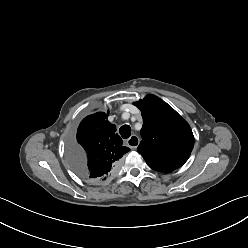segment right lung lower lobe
<instances>
[{
	"label": "right lung lower lobe",
	"mask_w": 248,
	"mask_h": 248,
	"mask_svg": "<svg viewBox=\"0 0 248 248\" xmlns=\"http://www.w3.org/2000/svg\"><path fill=\"white\" fill-rule=\"evenodd\" d=\"M117 169H118V165H117L116 167H114V168L111 170V172L109 173L108 176L103 177V178H101V179H93L92 181H93V182L105 181V180L111 178V177L117 172ZM79 175L82 176V177H84L83 173H82V174H79Z\"/></svg>",
	"instance_id": "98d812e1"
}]
</instances>
